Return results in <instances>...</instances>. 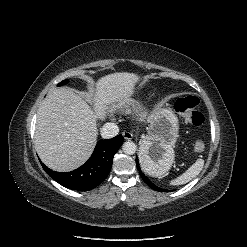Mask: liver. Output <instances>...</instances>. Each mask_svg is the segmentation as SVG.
Here are the masks:
<instances>
[{"label":"liver","instance_id":"6515ba94","mask_svg":"<svg viewBox=\"0 0 247 247\" xmlns=\"http://www.w3.org/2000/svg\"><path fill=\"white\" fill-rule=\"evenodd\" d=\"M139 76L116 72L101 77L88 99L70 89L53 90L42 102L36 122L35 147L50 169L68 172L81 166L97 141V121L112 106L130 101Z\"/></svg>","mask_w":247,"mask_h":247}]
</instances>
